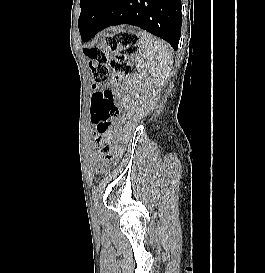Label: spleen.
Here are the masks:
<instances>
[{
	"mask_svg": "<svg viewBox=\"0 0 265 273\" xmlns=\"http://www.w3.org/2000/svg\"><path fill=\"white\" fill-rule=\"evenodd\" d=\"M146 68L149 70L152 81L157 86L166 83L173 63L172 49L163 40H160L146 31L139 33Z\"/></svg>",
	"mask_w": 265,
	"mask_h": 273,
	"instance_id": "1",
	"label": "spleen"
}]
</instances>
